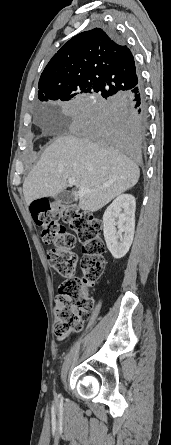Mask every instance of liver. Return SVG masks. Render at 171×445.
Masks as SVG:
<instances>
[{
    "label": "liver",
    "instance_id": "liver-1",
    "mask_svg": "<svg viewBox=\"0 0 171 445\" xmlns=\"http://www.w3.org/2000/svg\"><path fill=\"white\" fill-rule=\"evenodd\" d=\"M140 170L128 157H119L107 146L87 137L62 135L43 152L23 183L27 205L34 200L55 196L76 180L78 189L95 190L79 196L81 210L96 212L112 199L132 188Z\"/></svg>",
    "mask_w": 171,
    "mask_h": 445
}]
</instances>
